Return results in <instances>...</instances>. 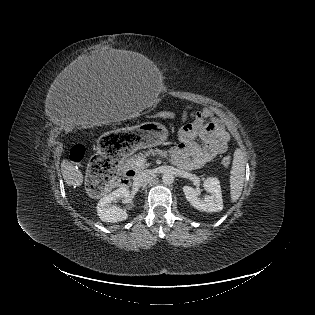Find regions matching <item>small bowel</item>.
Returning <instances> with one entry per match:
<instances>
[{
    "instance_id": "small-bowel-1",
    "label": "small bowel",
    "mask_w": 315,
    "mask_h": 315,
    "mask_svg": "<svg viewBox=\"0 0 315 315\" xmlns=\"http://www.w3.org/2000/svg\"><path fill=\"white\" fill-rule=\"evenodd\" d=\"M228 140L222 122L212 109L185 111L178 132V144L169 155L182 169H198L224 153Z\"/></svg>"
}]
</instances>
